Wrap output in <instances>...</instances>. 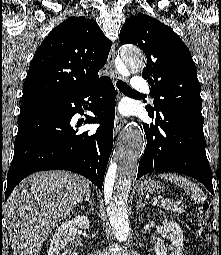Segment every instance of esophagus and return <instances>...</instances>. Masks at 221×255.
I'll list each match as a JSON object with an SVG mask.
<instances>
[{
  "label": "esophagus",
  "mask_w": 221,
  "mask_h": 255,
  "mask_svg": "<svg viewBox=\"0 0 221 255\" xmlns=\"http://www.w3.org/2000/svg\"><path fill=\"white\" fill-rule=\"evenodd\" d=\"M114 62H115V44L113 43L112 47H111V50H110V53H109V56H108V68H109L111 77L114 80H117L120 77H119L118 72L115 68ZM124 123H125L124 118L121 115L117 114L115 116V122H114V130H115L116 134L120 132V130L123 127Z\"/></svg>",
  "instance_id": "esophagus-1"
}]
</instances>
